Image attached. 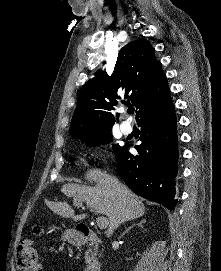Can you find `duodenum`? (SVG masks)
I'll return each mask as SVG.
<instances>
[{"instance_id": "410a0bca", "label": "duodenum", "mask_w": 221, "mask_h": 271, "mask_svg": "<svg viewBox=\"0 0 221 271\" xmlns=\"http://www.w3.org/2000/svg\"><path fill=\"white\" fill-rule=\"evenodd\" d=\"M70 242L73 245L92 244L94 246H98L101 243L98 235L94 231L88 229L78 230L70 237ZM84 271H101V265L96 261L91 262L86 266Z\"/></svg>"}]
</instances>
